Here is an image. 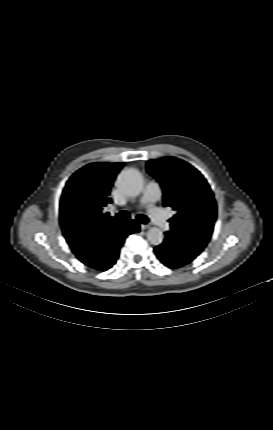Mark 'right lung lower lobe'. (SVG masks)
<instances>
[{
    "label": "right lung lower lobe",
    "mask_w": 273,
    "mask_h": 430,
    "mask_svg": "<svg viewBox=\"0 0 273 430\" xmlns=\"http://www.w3.org/2000/svg\"><path fill=\"white\" fill-rule=\"evenodd\" d=\"M139 231V225L131 220L116 229L100 232L94 240L89 243L90 255L82 262L96 270H107L111 268L119 257L120 248L126 237ZM68 243L69 245L71 244L69 241Z\"/></svg>",
    "instance_id": "98d812e1"
}]
</instances>
